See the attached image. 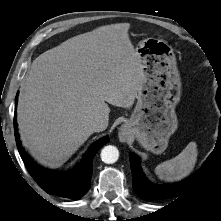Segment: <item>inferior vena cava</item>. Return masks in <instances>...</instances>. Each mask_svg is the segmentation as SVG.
<instances>
[{
	"label": "inferior vena cava",
	"instance_id": "inferior-vena-cava-1",
	"mask_svg": "<svg viewBox=\"0 0 221 221\" xmlns=\"http://www.w3.org/2000/svg\"><path fill=\"white\" fill-rule=\"evenodd\" d=\"M108 126V118L98 116L91 122V128L94 132L104 131Z\"/></svg>",
	"mask_w": 221,
	"mask_h": 221
}]
</instances>
